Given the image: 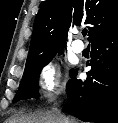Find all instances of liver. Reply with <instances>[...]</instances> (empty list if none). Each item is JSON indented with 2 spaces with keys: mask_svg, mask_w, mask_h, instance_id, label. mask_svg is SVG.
Wrapping results in <instances>:
<instances>
[{
  "mask_svg": "<svg viewBox=\"0 0 118 123\" xmlns=\"http://www.w3.org/2000/svg\"><path fill=\"white\" fill-rule=\"evenodd\" d=\"M69 123H77L74 119L67 118ZM5 123H64L63 115L57 111L36 112L33 114H19L6 120Z\"/></svg>",
  "mask_w": 118,
  "mask_h": 123,
  "instance_id": "6515ba94",
  "label": "liver"
}]
</instances>
